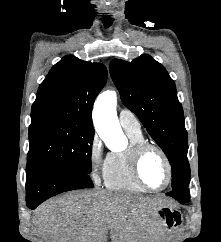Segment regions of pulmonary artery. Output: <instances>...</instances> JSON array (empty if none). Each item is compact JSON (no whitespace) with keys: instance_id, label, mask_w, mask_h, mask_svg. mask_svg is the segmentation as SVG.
<instances>
[{"instance_id":"obj_1","label":"pulmonary artery","mask_w":221,"mask_h":242,"mask_svg":"<svg viewBox=\"0 0 221 242\" xmlns=\"http://www.w3.org/2000/svg\"><path fill=\"white\" fill-rule=\"evenodd\" d=\"M119 122L124 129L139 132L141 126L135 115L127 109H121L119 111Z\"/></svg>"}]
</instances>
